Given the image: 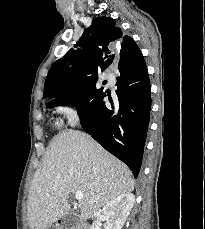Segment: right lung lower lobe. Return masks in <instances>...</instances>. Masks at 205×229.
Listing matches in <instances>:
<instances>
[{"label": "right lung lower lobe", "mask_w": 205, "mask_h": 229, "mask_svg": "<svg viewBox=\"0 0 205 229\" xmlns=\"http://www.w3.org/2000/svg\"><path fill=\"white\" fill-rule=\"evenodd\" d=\"M117 80L114 100L103 88H95L70 102H61L57 98L48 106H76L83 129L123 161L136 178L141 167L151 108L150 82L144 58L136 67L120 70ZM107 95L110 105L103 101Z\"/></svg>", "instance_id": "98d812e1"}]
</instances>
